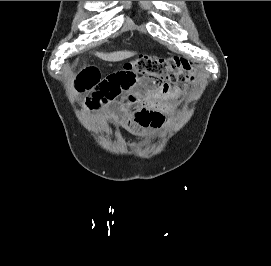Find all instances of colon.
<instances>
[{
    "instance_id": "1",
    "label": "colon",
    "mask_w": 271,
    "mask_h": 266,
    "mask_svg": "<svg viewBox=\"0 0 271 266\" xmlns=\"http://www.w3.org/2000/svg\"><path fill=\"white\" fill-rule=\"evenodd\" d=\"M126 67L166 82H188L194 75V70L190 66L155 56H140L127 63Z\"/></svg>"
}]
</instances>
